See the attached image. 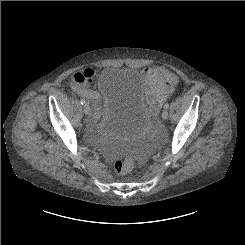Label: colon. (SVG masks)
<instances>
[{"mask_svg":"<svg viewBox=\"0 0 245 245\" xmlns=\"http://www.w3.org/2000/svg\"><path fill=\"white\" fill-rule=\"evenodd\" d=\"M88 78H79V81L83 82ZM134 166V160L131 156L120 157L115 160L113 167L117 174L125 175L128 174Z\"/></svg>","mask_w":245,"mask_h":245,"instance_id":"colon-1","label":"colon"}]
</instances>
